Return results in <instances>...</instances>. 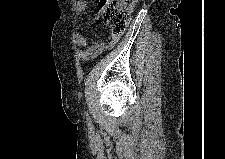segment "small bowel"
Segmentation results:
<instances>
[{"instance_id":"obj_1","label":"small bowel","mask_w":225,"mask_h":159,"mask_svg":"<svg viewBox=\"0 0 225 159\" xmlns=\"http://www.w3.org/2000/svg\"><path fill=\"white\" fill-rule=\"evenodd\" d=\"M87 9L86 1H77L74 7V13L77 17L81 16ZM75 43L80 47H86L80 51L79 56L82 60H91L100 55L105 50L113 48L118 41L117 36L110 35L106 40L99 41L91 46L88 45V38L79 31H75L73 34Z\"/></svg>"}]
</instances>
